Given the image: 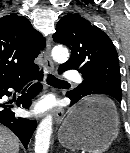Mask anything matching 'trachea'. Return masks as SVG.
Segmentation results:
<instances>
[{
  "label": "trachea",
  "mask_w": 130,
  "mask_h": 153,
  "mask_svg": "<svg viewBox=\"0 0 130 153\" xmlns=\"http://www.w3.org/2000/svg\"><path fill=\"white\" fill-rule=\"evenodd\" d=\"M47 83L49 85L57 86V87L58 86L68 85V82L60 80V79H58V78H56V77H54L53 75H50V74H48Z\"/></svg>",
  "instance_id": "3493384b"
}]
</instances>
